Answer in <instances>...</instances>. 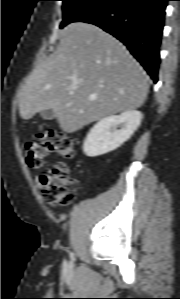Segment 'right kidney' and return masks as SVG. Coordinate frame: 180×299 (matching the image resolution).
<instances>
[{
	"instance_id": "1",
	"label": "right kidney",
	"mask_w": 180,
	"mask_h": 299,
	"mask_svg": "<svg viewBox=\"0 0 180 299\" xmlns=\"http://www.w3.org/2000/svg\"><path fill=\"white\" fill-rule=\"evenodd\" d=\"M142 113L125 111L118 116H108L97 122L88 133L83 151L89 157H96L120 147L137 130ZM121 126L120 129H117Z\"/></svg>"
}]
</instances>
